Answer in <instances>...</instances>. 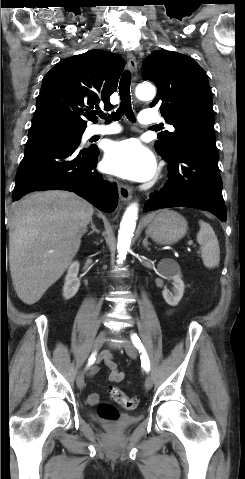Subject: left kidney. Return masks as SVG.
I'll return each instance as SVG.
<instances>
[{
  "label": "left kidney",
  "mask_w": 245,
  "mask_h": 479,
  "mask_svg": "<svg viewBox=\"0 0 245 479\" xmlns=\"http://www.w3.org/2000/svg\"><path fill=\"white\" fill-rule=\"evenodd\" d=\"M158 271L162 276H166L172 280V292L164 288L162 295L164 300L170 306H177L183 297L184 282L181 279V271L179 264L170 258L162 259L158 264Z\"/></svg>",
  "instance_id": "5707ae66"
}]
</instances>
